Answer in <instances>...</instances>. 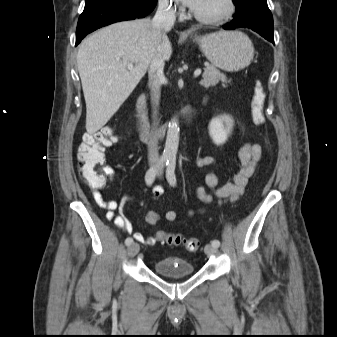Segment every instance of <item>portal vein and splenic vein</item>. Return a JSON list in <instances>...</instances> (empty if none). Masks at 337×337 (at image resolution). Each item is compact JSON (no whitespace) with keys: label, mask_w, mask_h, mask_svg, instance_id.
Segmentation results:
<instances>
[{"label":"portal vein and splenic vein","mask_w":337,"mask_h":337,"mask_svg":"<svg viewBox=\"0 0 337 337\" xmlns=\"http://www.w3.org/2000/svg\"><path fill=\"white\" fill-rule=\"evenodd\" d=\"M133 67H134L133 63H129V64L127 65V68H128V69H132ZM200 74H201V69H197V70H195V72H194V77H198Z\"/></svg>","instance_id":"portal-vein-and-splenic-vein-1"}]
</instances>
